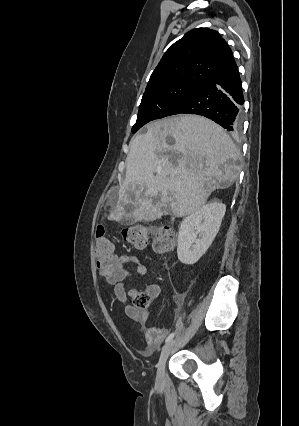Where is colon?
<instances>
[{"label": "colon", "instance_id": "1", "mask_svg": "<svg viewBox=\"0 0 299 426\" xmlns=\"http://www.w3.org/2000/svg\"><path fill=\"white\" fill-rule=\"evenodd\" d=\"M95 252L98 263L107 270H118L117 256L113 243L107 238L105 227L97 225L95 230ZM123 239L137 248H144L149 238L152 239V247L157 253H170L175 248V236L171 228L167 226H131L122 231ZM133 306L138 310H146L151 302L150 293L136 292L133 294Z\"/></svg>", "mask_w": 299, "mask_h": 426}]
</instances>
